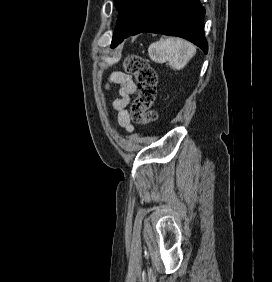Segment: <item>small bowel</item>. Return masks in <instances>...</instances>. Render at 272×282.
<instances>
[{"mask_svg":"<svg viewBox=\"0 0 272 282\" xmlns=\"http://www.w3.org/2000/svg\"><path fill=\"white\" fill-rule=\"evenodd\" d=\"M108 82L120 85L119 97L113 100L112 107L117 112L118 123L127 131H132L133 125L127 108L136 92V84L131 76L122 72L111 73Z\"/></svg>","mask_w":272,"mask_h":282,"instance_id":"small-bowel-1","label":"small bowel"}]
</instances>
